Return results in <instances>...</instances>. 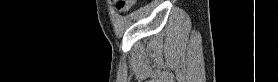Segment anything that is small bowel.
<instances>
[{
	"mask_svg": "<svg viewBox=\"0 0 279 82\" xmlns=\"http://www.w3.org/2000/svg\"><path fill=\"white\" fill-rule=\"evenodd\" d=\"M116 9L120 12H125L129 10L130 8L125 6L124 4H116Z\"/></svg>",
	"mask_w": 279,
	"mask_h": 82,
	"instance_id": "c3829d8e",
	"label": "small bowel"
}]
</instances>
